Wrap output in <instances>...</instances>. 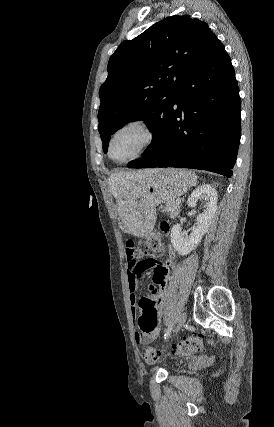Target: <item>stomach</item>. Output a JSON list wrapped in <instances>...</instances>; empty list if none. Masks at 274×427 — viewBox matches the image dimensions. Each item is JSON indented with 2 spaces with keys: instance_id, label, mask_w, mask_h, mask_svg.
<instances>
[{
  "instance_id": "0dacf381",
  "label": "stomach",
  "mask_w": 274,
  "mask_h": 427,
  "mask_svg": "<svg viewBox=\"0 0 274 427\" xmlns=\"http://www.w3.org/2000/svg\"><path fill=\"white\" fill-rule=\"evenodd\" d=\"M197 176L190 170H156L144 180L134 176L126 198L118 206V214L127 229L138 237L148 235L156 223V208L162 202L180 198L196 184ZM132 219V221H129Z\"/></svg>"
}]
</instances>
